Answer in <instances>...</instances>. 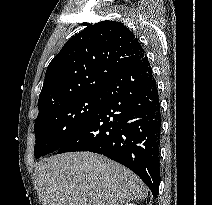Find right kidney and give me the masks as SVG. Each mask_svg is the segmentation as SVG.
Listing matches in <instances>:
<instances>
[{"label": "right kidney", "instance_id": "ca27d5eb", "mask_svg": "<svg viewBox=\"0 0 212 205\" xmlns=\"http://www.w3.org/2000/svg\"><path fill=\"white\" fill-rule=\"evenodd\" d=\"M125 205H135V204H132V203L128 204V203H127V204H125Z\"/></svg>", "mask_w": 212, "mask_h": 205}]
</instances>
